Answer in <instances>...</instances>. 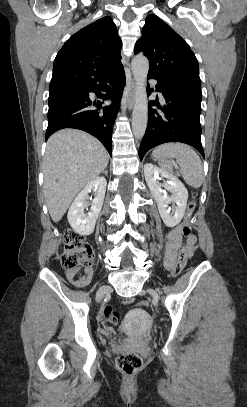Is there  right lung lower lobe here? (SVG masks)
<instances>
[{"label": "right lung lower lobe", "mask_w": 247, "mask_h": 407, "mask_svg": "<svg viewBox=\"0 0 247 407\" xmlns=\"http://www.w3.org/2000/svg\"><path fill=\"white\" fill-rule=\"evenodd\" d=\"M124 85L125 73L120 66L94 77L83 87L82 93L49 102L46 140L59 129L76 128L95 136L111 154L112 130ZM101 91L106 94L102 95ZM89 92H95L103 100L110 99L113 103L102 108L98 101L93 103L97 109H89L92 105Z\"/></svg>", "instance_id": "obj_1"}]
</instances>
